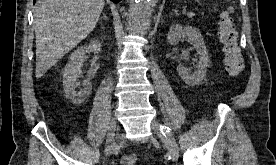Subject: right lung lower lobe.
I'll return each instance as SVG.
<instances>
[{
  "instance_id": "98d812e1",
  "label": "right lung lower lobe",
  "mask_w": 276,
  "mask_h": 165,
  "mask_svg": "<svg viewBox=\"0 0 276 165\" xmlns=\"http://www.w3.org/2000/svg\"><path fill=\"white\" fill-rule=\"evenodd\" d=\"M35 1L36 0H34V3H35ZM113 2H115V3H118V2H120L121 0H112Z\"/></svg>"
}]
</instances>
